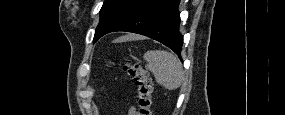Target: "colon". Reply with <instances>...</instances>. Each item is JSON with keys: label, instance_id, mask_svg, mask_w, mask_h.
<instances>
[{"label": "colon", "instance_id": "1", "mask_svg": "<svg viewBox=\"0 0 285 115\" xmlns=\"http://www.w3.org/2000/svg\"><path fill=\"white\" fill-rule=\"evenodd\" d=\"M123 70L133 79L137 87L138 114L151 115L153 81L149 73L138 64L131 62L124 63Z\"/></svg>", "mask_w": 285, "mask_h": 115}]
</instances>
